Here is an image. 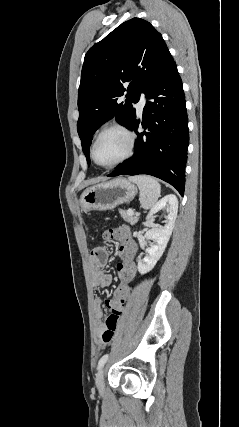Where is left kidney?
I'll list each match as a JSON object with an SVG mask.
<instances>
[{"label": "left kidney", "mask_w": 239, "mask_h": 427, "mask_svg": "<svg viewBox=\"0 0 239 427\" xmlns=\"http://www.w3.org/2000/svg\"><path fill=\"white\" fill-rule=\"evenodd\" d=\"M162 209H166L168 212L166 217L167 223L164 227L156 226L146 232V239L152 240L153 242L150 247L146 248V256L138 262V271L140 274H146L151 271L165 251L177 218V197L170 194L162 198L151 208L146 220L152 218L154 214Z\"/></svg>", "instance_id": "1"}]
</instances>
